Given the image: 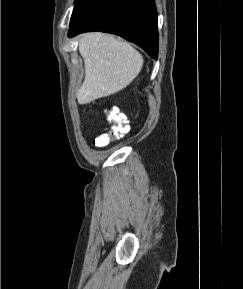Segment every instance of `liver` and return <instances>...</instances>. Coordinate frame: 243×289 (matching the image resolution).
Returning <instances> with one entry per match:
<instances>
[{
  "label": "liver",
  "mask_w": 243,
  "mask_h": 289,
  "mask_svg": "<svg viewBox=\"0 0 243 289\" xmlns=\"http://www.w3.org/2000/svg\"><path fill=\"white\" fill-rule=\"evenodd\" d=\"M79 52L85 66V79L76 95L81 105L127 87L144 62L142 55L128 42L101 32L82 35Z\"/></svg>",
  "instance_id": "liver-1"
}]
</instances>
